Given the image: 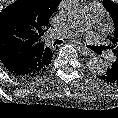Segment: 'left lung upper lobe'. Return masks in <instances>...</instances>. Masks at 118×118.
Instances as JSON below:
<instances>
[{
    "instance_id": "1",
    "label": "left lung upper lobe",
    "mask_w": 118,
    "mask_h": 118,
    "mask_svg": "<svg viewBox=\"0 0 118 118\" xmlns=\"http://www.w3.org/2000/svg\"><path fill=\"white\" fill-rule=\"evenodd\" d=\"M103 4L114 20L115 32L111 39L112 47L109 46L108 48L112 49L116 56L115 61L112 63V67L118 69V4L111 0H103Z\"/></svg>"
}]
</instances>
